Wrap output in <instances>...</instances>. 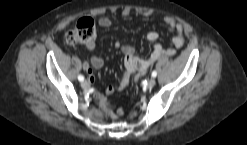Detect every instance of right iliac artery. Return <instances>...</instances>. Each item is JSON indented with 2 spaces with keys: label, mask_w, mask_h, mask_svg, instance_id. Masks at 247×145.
Instances as JSON below:
<instances>
[{
  "label": "right iliac artery",
  "mask_w": 247,
  "mask_h": 145,
  "mask_svg": "<svg viewBox=\"0 0 247 145\" xmlns=\"http://www.w3.org/2000/svg\"><path fill=\"white\" fill-rule=\"evenodd\" d=\"M78 80H79L80 82H82V81H84V77H83L82 75H79V76H78Z\"/></svg>",
  "instance_id": "82829eb1"
}]
</instances>
